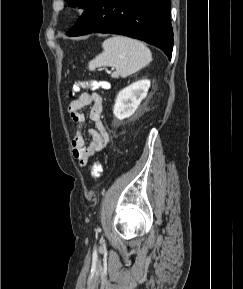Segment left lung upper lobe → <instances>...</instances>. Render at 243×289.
Instances as JSON below:
<instances>
[{
    "label": "left lung upper lobe",
    "instance_id": "1",
    "mask_svg": "<svg viewBox=\"0 0 243 289\" xmlns=\"http://www.w3.org/2000/svg\"><path fill=\"white\" fill-rule=\"evenodd\" d=\"M67 3L71 5H75L78 8H83L85 9L88 4L91 2V0H65Z\"/></svg>",
    "mask_w": 243,
    "mask_h": 289
}]
</instances>
